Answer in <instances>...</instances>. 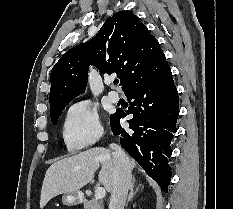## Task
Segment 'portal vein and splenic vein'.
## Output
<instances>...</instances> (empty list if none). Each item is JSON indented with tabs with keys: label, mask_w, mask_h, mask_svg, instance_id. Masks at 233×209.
<instances>
[{
	"label": "portal vein and splenic vein",
	"mask_w": 233,
	"mask_h": 209,
	"mask_svg": "<svg viewBox=\"0 0 233 209\" xmlns=\"http://www.w3.org/2000/svg\"><path fill=\"white\" fill-rule=\"evenodd\" d=\"M106 195V191H105V188L103 187H97L96 190H95V198L97 200H100L102 198H104Z\"/></svg>",
	"instance_id": "18ae733b"
}]
</instances>
